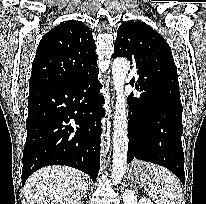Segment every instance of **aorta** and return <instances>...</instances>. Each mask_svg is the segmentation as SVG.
<instances>
[{"mask_svg":"<svg viewBox=\"0 0 206 204\" xmlns=\"http://www.w3.org/2000/svg\"><path fill=\"white\" fill-rule=\"evenodd\" d=\"M129 70V62L125 58H117L112 65L114 89L116 91V106L113 131V165L112 180L120 183L127 165L128 137L126 98L124 95L125 79Z\"/></svg>","mask_w":206,"mask_h":204,"instance_id":"obj_1","label":"aorta"}]
</instances>
